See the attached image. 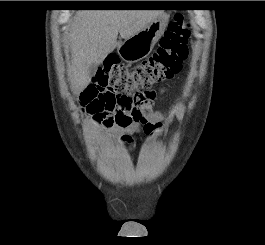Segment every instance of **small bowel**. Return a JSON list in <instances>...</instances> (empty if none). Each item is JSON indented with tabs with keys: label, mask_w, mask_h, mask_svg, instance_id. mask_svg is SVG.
<instances>
[{
	"label": "small bowel",
	"mask_w": 265,
	"mask_h": 245,
	"mask_svg": "<svg viewBox=\"0 0 265 245\" xmlns=\"http://www.w3.org/2000/svg\"><path fill=\"white\" fill-rule=\"evenodd\" d=\"M99 92L94 84H89L81 94L80 102L81 104L90 107L92 102L99 96ZM147 118L153 123H162L168 120L173 113L167 114L164 111H155L152 112L151 109L146 112ZM145 117V116H144ZM138 122H130L129 124H114L110 127L114 133H116L123 142L130 143L132 141V136L137 133L139 130H143L145 133H149L146 125H143V118ZM146 118V117H145ZM149 121V122H150ZM147 123V122H146Z\"/></svg>",
	"instance_id": "obj_1"
}]
</instances>
